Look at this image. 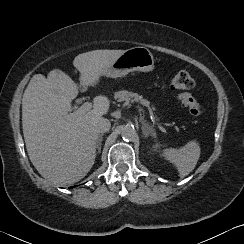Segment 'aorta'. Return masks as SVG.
I'll return each instance as SVG.
<instances>
[{
    "label": "aorta",
    "instance_id": "aorta-1",
    "mask_svg": "<svg viewBox=\"0 0 244 244\" xmlns=\"http://www.w3.org/2000/svg\"><path fill=\"white\" fill-rule=\"evenodd\" d=\"M136 130L131 125H125L121 128V136L124 140H131L135 137Z\"/></svg>",
    "mask_w": 244,
    "mask_h": 244
}]
</instances>
